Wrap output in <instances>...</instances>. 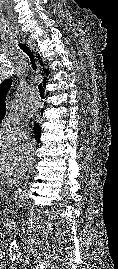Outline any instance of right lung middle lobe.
I'll return each mask as SVG.
<instances>
[{"label":"right lung middle lobe","mask_w":118,"mask_h":269,"mask_svg":"<svg viewBox=\"0 0 118 269\" xmlns=\"http://www.w3.org/2000/svg\"><path fill=\"white\" fill-rule=\"evenodd\" d=\"M5 115V106L0 108V122L4 118Z\"/></svg>","instance_id":"dd1d6c3e"}]
</instances>
